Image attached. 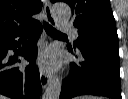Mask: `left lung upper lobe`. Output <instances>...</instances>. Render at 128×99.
Instances as JSON below:
<instances>
[{
	"instance_id": "5c2ea615",
	"label": "left lung upper lobe",
	"mask_w": 128,
	"mask_h": 99,
	"mask_svg": "<svg viewBox=\"0 0 128 99\" xmlns=\"http://www.w3.org/2000/svg\"><path fill=\"white\" fill-rule=\"evenodd\" d=\"M56 2V0H51ZM72 9L79 37L76 46L95 37L118 41L115 19L109 0H64Z\"/></svg>"
}]
</instances>
